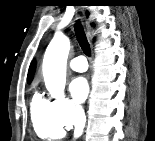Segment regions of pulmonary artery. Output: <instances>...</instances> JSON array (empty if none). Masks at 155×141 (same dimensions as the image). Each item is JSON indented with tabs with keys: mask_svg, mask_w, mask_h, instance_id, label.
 <instances>
[{
	"mask_svg": "<svg viewBox=\"0 0 155 141\" xmlns=\"http://www.w3.org/2000/svg\"><path fill=\"white\" fill-rule=\"evenodd\" d=\"M70 67L77 72H84L88 68L87 61L84 56H78L73 58L70 63Z\"/></svg>",
	"mask_w": 155,
	"mask_h": 141,
	"instance_id": "pulmonary-artery-1",
	"label": "pulmonary artery"
}]
</instances>
